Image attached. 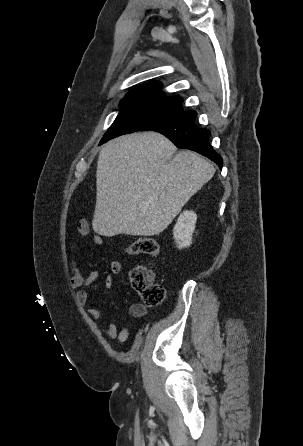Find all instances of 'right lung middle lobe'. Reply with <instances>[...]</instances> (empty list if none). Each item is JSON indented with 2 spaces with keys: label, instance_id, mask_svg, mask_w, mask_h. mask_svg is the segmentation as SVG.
Returning <instances> with one entry per match:
<instances>
[{
  "label": "right lung middle lobe",
  "instance_id": "right-lung-middle-lobe-1",
  "mask_svg": "<svg viewBox=\"0 0 303 446\" xmlns=\"http://www.w3.org/2000/svg\"><path fill=\"white\" fill-rule=\"evenodd\" d=\"M182 98H174L161 110L146 108L122 107L113 124L100 141V145L120 135L141 131L145 126L157 119L182 109Z\"/></svg>",
  "mask_w": 303,
  "mask_h": 446
}]
</instances>
